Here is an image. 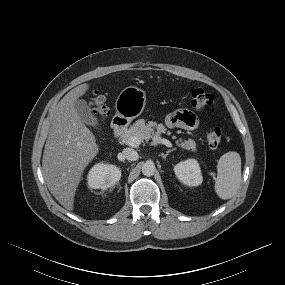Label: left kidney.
I'll use <instances>...</instances> for the list:
<instances>
[{"label": "left kidney", "mask_w": 285, "mask_h": 285, "mask_svg": "<svg viewBox=\"0 0 285 285\" xmlns=\"http://www.w3.org/2000/svg\"><path fill=\"white\" fill-rule=\"evenodd\" d=\"M174 172L177 178L187 186H198L203 181L199 163L195 159L179 162L174 166Z\"/></svg>", "instance_id": "left-kidney-1"}]
</instances>
